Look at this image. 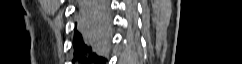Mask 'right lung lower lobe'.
<instances>
[{
	"label": "right lung lower lobe",
	"mask_w": 242,
	"mask_h": 64,
	"mask_svg": "<svg viewBox=\"0 0 242 64\" xmlns=\"http://www.w3.org/2000/svg\"><path fill=\"white\" fill-rule=\"evenodd\" d=\"M111 36L107 0H81L73 37V62L103 64Z\"/></svg>",
	"instance_id": "98d812e1"
}]
</instances>
